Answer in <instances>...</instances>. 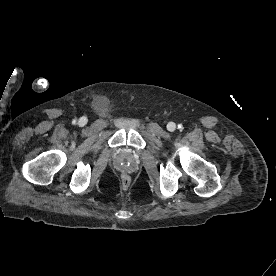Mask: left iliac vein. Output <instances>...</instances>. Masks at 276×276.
<instances>
[{
  "label": "left iliac vein",
  "instance_id": "obj_1",
  "mask_svg": "<svg viewBox=\"0 0 276 276\" xmlns=\"http://www.w3.org/2000/svg\"><path fill=\"white\" fill-rule=\"evenodd\" d=\"M175 128H176L175 123L170 122V123L168 124V130H169V131H174V130H175Z\"/></svg>",
  "mask_w": 276,
  "mask_h": 276
}]
</instances>
